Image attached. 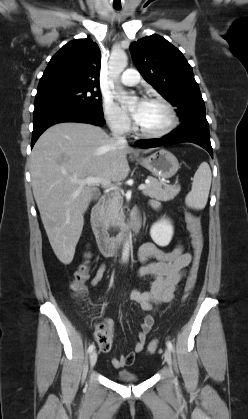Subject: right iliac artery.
Instances as JSON below:
<instances>
[{
  "label": "right iliac artery",
  "instance_id": "82829eb1",
  "mask_svg": "<svg viewBox=\"0 0 248 419\" xmlns=\"http://www.w3.org/2000/svg\"><path fill=\"white\" fill-rule=\"evenodd\" d=\"M95 346L94 344H91L88 348V352L91 353L94 350Z\"/></svg>",
  "mask_w": 248,
  "mask_h": 419
}]
</instances>
